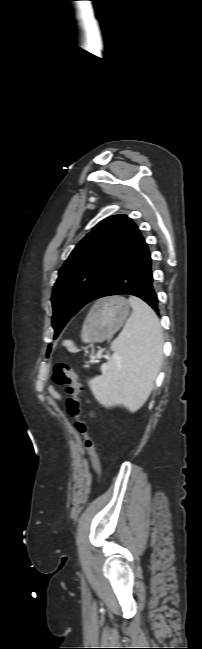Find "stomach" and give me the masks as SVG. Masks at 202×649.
I'll return each mask as SVG.
<instances>
[{"label": "stomach", "instance_id": "1", "mask_svg": "<svg viewBox=\"0 0 202 649\" xmlns=\"http://www.w3.org/2000/svg\"><path fill=\"white\" fill-rule=\"evenodd\" d=\"M130 313L129 301L109 297L98 301L85 320L82 337L85 342H101L116 332Z\"/></svg>", "mask_w": 202, "mask_h": 649}]
</instances>
